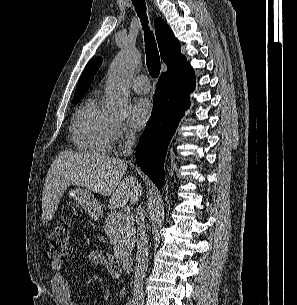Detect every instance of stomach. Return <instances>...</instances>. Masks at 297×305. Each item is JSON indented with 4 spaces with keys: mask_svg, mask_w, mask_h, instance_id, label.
<instances>
[{
    "mask_svg": "<svg viewBox=\"0 0 297 305\" xmlns=\"http://www.w3.org/2000/svg\"><path fill=\"white\" fill-rule=\"evenodd\" d=\"M68 194L83 208L94 220L102 217V208L94 195L86 188L70 185L67 188Z\"/></svg>",
    "mask_w": 297,
    "mask_h": 305,
    "instance_id": "0dacf381",
    "label": "stomach"
}]
</instances>
